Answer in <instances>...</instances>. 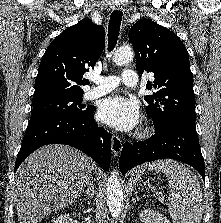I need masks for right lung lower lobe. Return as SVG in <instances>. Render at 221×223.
<instances>
[{"instance_id":"right-lung-lower-lobe-1","label":"right lung lower lobe","mask_w":221,"mask_h":223,"mask_svg":"<svg viewBox=\"0 0 221 223\" xmlns=\"http://www.w3.org/2000/svg\"><path fill=\"white\" fill-rule=\"evenodd\" d=\"M94 110L83 117L51 116L29 123L17 155L15 171L33 151L54 143L75 147L108 170L111 137L94 121Z\"/></svg>"}]
</instances>
